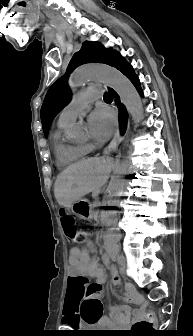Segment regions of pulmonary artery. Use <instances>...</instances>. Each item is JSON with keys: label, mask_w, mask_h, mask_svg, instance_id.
Returning <instances> with one entry per match:
<instances>
[{"label": "pulmonary artery", "mask_w": 193, "mask_h": 336, "mask_svg": "<svg viewBox=\"0 0 193 336\" xmlns=\"http://www.w3.org/2000/svg\"><path fill=\"white\" fill-rule=\"evenodd\" d=\"M101 97L98 87H90L74 94L71 102L62 110L58 118V125L65 126L73 122L86 105Z\"/></svg>", "instance_id": "e3ab8cb5"}]
</instances>
